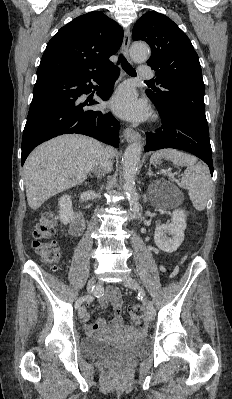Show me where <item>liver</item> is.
Wrapping results in <instances>:
<instances>
[{
	"mask_svg": "<svg viewBox=\"0 0 232 399\" xmlns=\"http://www.w3.org/2000/svg\"><path fill=\"white\" fill-rule=\"evenodd\" d=\"M103 152L115 156L110 146L103 148L97 140L77 134L59 136L35 148L24 164L29 207L38 209L55 194L82 184Z\"/></svg>",
	"mask_w": 232,
	"mask_h": 399,
	"instance_id": "liver-1",
	"label": "liver"
}]
</instances>
